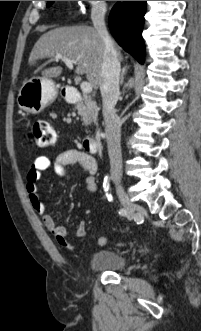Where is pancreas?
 I'll return each mask as SVG.
<instances>
[{"label": "pancreas", "mask_w": 201, "mask_h": 331, "mask_svg": "<svg viewBox=\"0 0 201 331\" xmlns=\"http://www.w3.org/2000/svg\"><path fill=\"white\" fill-rule=\"evenodd\" d=\"M84 103L76 105L79 115L82 117L83 125L88 126L97 121L99 108L91 96L83 94Z\"/></svg>", "instance_id": "1"}]
</instances>
